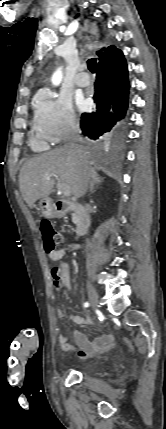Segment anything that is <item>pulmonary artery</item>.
<instances>
[{
	"label": "pulmonary artery",
	"mask_w": 166,
	"mask_h": 429,
	"mask_svg": "<svg viewBox=\"0 0 166 429\" xmlns=\"http://www.w3.org/2000/svg\"><path fill=\"white\" fill-rule=\"evenodd\" d=\"M85 66L83 65V66H81L80 68H79V73H78V75H77V77L75 78V83H76V85H78L79 87H86V86H88L89 85V83H90V80H89V78H88V76H87V74L85 73Z\"/></svg>",
	"instance_id": "e3ab8cb5"
}]
</instances>
